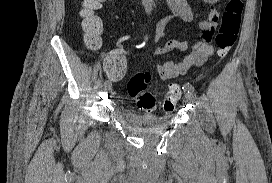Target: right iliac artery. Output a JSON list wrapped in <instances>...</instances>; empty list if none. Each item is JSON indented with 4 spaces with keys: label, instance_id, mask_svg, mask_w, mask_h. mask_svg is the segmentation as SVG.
I'll list each match as a JSON object with an SVG mask.
<instances>
[{
    "label": "right iliac artery",
    "instance_id": "obj_1",
    "mask_svg": "<svg viewBox=\"0 0 272 183\" xmlns=\"http://www.w3.org/2000/svg\"><path fill=\"white\" fill-rule=\"evenodd\" d=\"M138 47H140V46H137V48H138ZM107 82H109V81H106L104 84H106Z\"/></svg>",
    "mask_w": 272,
    "mask_h": 183
}]
</instances>
